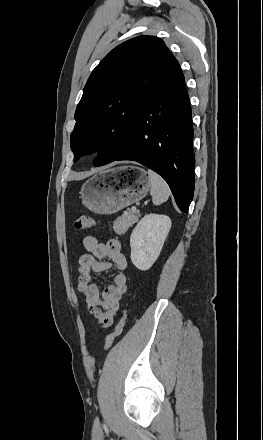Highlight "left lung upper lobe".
Listing matches in <instances>:
<instances>
[{
  "label": "left lung upper lobe",
  "instance_id": "obj_1",
  "mask_svg": "<svg viewBox=\"0 0 263 440\" xmlns=\"http://www.w3.org/2000/svg\"><path fill=\"white\" fill-rule=\"evenodd\" d=\"M173 60L160 38L145 35L120 44L98 64L75 112L74 161L83 150H98L94 164L105 165L127 147L137 115Z\"/></svg>",
  "mask_w": 263,
  "mask_h": 440
}]
</instances>
